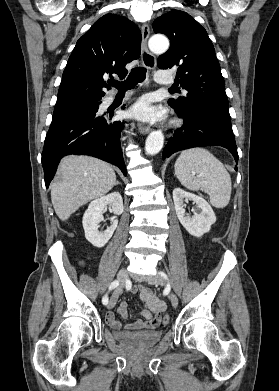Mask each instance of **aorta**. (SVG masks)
I'll list each match as a JSON object with an SVG mask.
<instances>
[{
	"label": "aorta",
	"instance_id": "aorta-1",
	"mask_svg": "<svg viewBox=\"0 0 279 391\" xmlns=\"http://www.w3.org/2000/svg\"><path fill=\"white\" fill-rule=\"evenodd\" d=\"M149 49L155 54H162L169 48V40L165 36H152L148 43ZM164 144L163 133L159 130L152 131L145 142V151L149 155H155L160 152Z\"/></svg>",
	"mask_w": 279,
	"mask_h": 391
}]
</instances>
